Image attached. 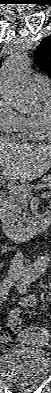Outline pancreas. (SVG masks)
Returning <instances> with one entry per match:
<instances>
[{"mask_svg": "<svg viewBox=\"0 0 51 393\" xmlns=\"http://www.w3.org/2000/svg\"><path fill=\"white\" fill-rule=\"evenodd\" d=\"M42 182L44 187H49L51 185V178L49 176H45L43 177ZM38 185L41 184L38 183ZM22 187L29 191L30 186L28 184H24ZM8 201V214L13 222L17 223L19 226H22L24 223H28L30 221V214L28 213V197L24 196V193L22 192L10 191Z\"/></svg>", "mask_w": 51, "mask_h": 393, "instance_id": "1", "label": "pancreas"}]
</instances>
